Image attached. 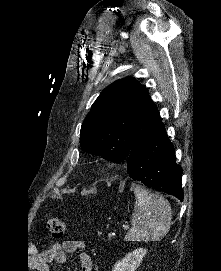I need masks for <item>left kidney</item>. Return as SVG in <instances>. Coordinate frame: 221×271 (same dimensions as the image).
I'll return each instance as SVG.
<instances>
[{"instance_id": "1", "label": "left kidney", "mask_w": 221, "mask_h": 271, "mask_svg": "<svg viewBox=\"0 0 221 271\" xmlns=\"http://www.w3.org/2000/svg\"><path fill=\"white\" fill-rule=\"evenodd\" d=\"M144 255H146L144 247L133 249L130 253H126L123 259H119V261L114 263L112 271H135L139 267Z\"/></svg>"}]
</instances>
